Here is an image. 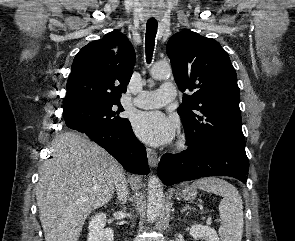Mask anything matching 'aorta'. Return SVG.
Masks as SVG:
<instances>
[{
	"label": "aorta",
	"mask_w": 295,
	"mask_h": 241,
	"mask_svg": "<svg viewBox=\"0 0 295 241\" xmlns=\"http://www.w3.org/2000/svg\"><path fill=\"white\" fill-rule=\"evenodd\" d=\"M150 74L154 79H165L171 76L172 69L168 63H157ZM165 202V195L161 186V181L157 176H152L148 183L147 194V218L149 222H154L161 214Z\"/></svg>",
	"instance_id": "762f6f07"
}]
</instances>
